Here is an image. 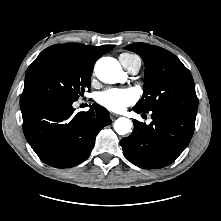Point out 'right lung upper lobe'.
Here are the masks:
<instances>
[{"instance_id": "right-lung-upper-lobe-1", "label": "right lung upper lobe", "mask_w": 221, "mask_h": 221, "mask_svg": "<svg viewBox=\"0 0 221 221\" xmlns=\"http://www.w3.org/2000/svg\"><path fill=\"white\" fill-rule=\"evenodd\" d=\"M113 48V45L94 47L79 43L56 44L43 50L37 58L47 55L61 54L77 58L84 64L93 67L98 58ZM23 100L24 99H20V102Z\"/></svg>"}]
</instances>
